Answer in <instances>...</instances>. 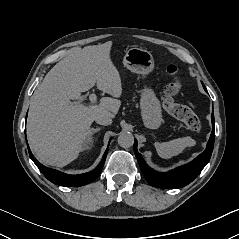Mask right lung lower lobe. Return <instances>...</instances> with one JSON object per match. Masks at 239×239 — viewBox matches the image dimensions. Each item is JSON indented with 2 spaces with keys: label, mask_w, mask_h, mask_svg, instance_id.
Masks as SVG:
<instances>
[{
  "label": "right lung lower lobe",
  "mask_w": 239,
  "mask_h": 239,
  "mask_svg": "<svg viewBox=\"0 0 239 239\" xmlns=\"http://www.w3.org/2000/svg\"><path fill=\"white\" fill-rule=\"evenodd\" d=\"M29 155L30 158L33 160V162L36 164V166L39 168V170L44 174V176L51 181L52 183L60 186H68V187H78L86 185L92 181H94L101 173L102 168L105 163V159L107 156L108 148L105 151L103 158L99 165L91 172L80 174V175H69L62 172H59L54 169L47 168L40 164L37 159L32 155L29 146Z\"/></svg>",
  "instance_id": "right-lung-lower-lobe-1"
}]
</instances>
